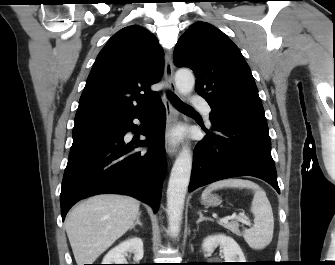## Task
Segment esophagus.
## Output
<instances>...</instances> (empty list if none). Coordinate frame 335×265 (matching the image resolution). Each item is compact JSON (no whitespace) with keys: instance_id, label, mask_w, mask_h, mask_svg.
<instances>
[{"instance_id":"obj_1","label":"esophagus","mask_w":335,"mask_h":265,"mask_svg":"<svg viewBox=\"0 0 335 265\" xmlns=\"http://www.w3.org/2000/svg\"><path fill=\"white\" fill-rule=\"evenodd\" d=\"M164 76H165L168 90L173 94H177L176 85L174 82V66H173L172 57L169 53L166 54V57H165ZM163 102H164L166 114H167V130L169 132L177 124L178 115H177V112L171 100L166 94L163 96ZM177 151H178L177 145L171 141L170 137H167L166 152L168 153V155L172 157L177 154Z\"/></svg>"}]
</instances>
